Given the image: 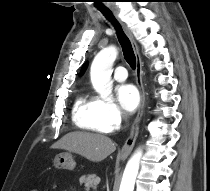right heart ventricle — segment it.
Instances as JSON below:
<instances>
[{"instance_id":"right-heart-ventricle-1","label":"right heart ventricle","mask_w":210,"mask_h":191,"mask_svg":"<svg viewBox=\"0 0 210 191\" xmlns=\"http://www.w3.org/2000/svg\"><path fill=\"white\" fill-rule=\"evenodd\" d=\"M73 119L78 127L96 133H108L112 130L102 119L97 100L81 94L75 101Z\"/></svg>"}]
</instances>
